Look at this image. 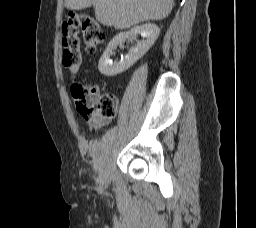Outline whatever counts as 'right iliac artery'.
Masks as SVG:
<instances>
[{
	"mask_svg": "<svg viewBox=\"0 0 256 228\" xmlns=\"http://www.w3.org/2000/svg\"><path fill=\"white\" fill-rule=\"evenodd\" d=\"M116 130H117V127H113V128L109 131V133L106 134V140H109V138H110L111 136H113L114 134H116Z\"/></svg>",
	"mask_w": 256,
	"mask_h": 228,
	"instance_id": "obj_1",
	"label": "right iliac artery"
}]
</instances>
